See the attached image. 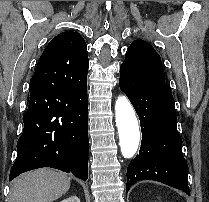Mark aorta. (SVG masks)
<instances>
[{
    "mask_svg": "<svg viewBox=\"0 0 209 202\" xmlns=\"http://www.w3.org/2000/svg\"><path fill=\"white\" fill-rule=\"evenodd\" d=\"M115 118L121 153L124 158H131L138 149L140 132L135 111L126 96H119L116 100Z\"/></svg>",
    "mask_w": 209,
    "mask_h": 202,
    "instance_id": "762f6f07",
    "label": "aorta"
}]
</instances>
